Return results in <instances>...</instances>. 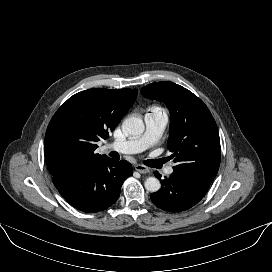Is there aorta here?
Masks as SVG:
<instances>
[{
    "label": "aorta",
    "mask_w": 272,
    "mask_h": 272,
    "mask_svg": "<svg viewBox=\"0 0 272 272\" xmlns=\"http://www.w3.org/2000/svg\"><path fill=\"white\" fill-rule=\"evenodd\" d=\"M125 131L133 136L140 135L144 132L145 125L140 118L128 117L123 122ZM144 186L150 192H157L160 187V181L155 177H149L145 180Z\"/></svg>",
    "instance_id": "obj_1"
}]
</instances>
